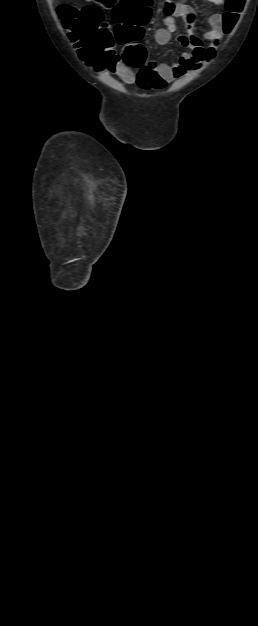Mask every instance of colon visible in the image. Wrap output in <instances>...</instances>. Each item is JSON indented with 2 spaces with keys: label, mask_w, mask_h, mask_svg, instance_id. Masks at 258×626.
I'll return each mask as SVG.
<instances>
[{
  "label": "colon",
  "mask_w": 258,
  "mask_h": 626,
  "mask_svg": "<svg viewBox=\"0 0 258 626\" xmlns=\"http://www.w3.org/2000/svg\"><path fill=\"white\" fill-rule=\"evenodd\" d=\"M77 8L71 4L58 7L59 17L68 31L80 58L95 69H102L118 57L116 43L127 45L122 59L132 66H140L146 59L145 48L138 44L143 26L151 15L153 0H97ZM245 0H225L223 30L229 32L243 9ZM101 7L113 9L116 27L112 33L105 22Z\"/></svg>",
  "instance_id": "1"
}]
</instances>
